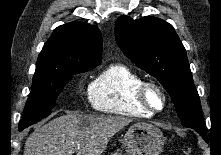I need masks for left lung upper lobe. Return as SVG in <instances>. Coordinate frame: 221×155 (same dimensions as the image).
<instances>
[{
	"instance_id": "obj_1",
	"label": "left lung upper lobe",
	"mask_w": 221,
	"mask_h": 155,
	"mask_svg": "<svg viewBox=\"0 0 221 155\" xmlns=\"http://www.w3.org/2000/svg\"><path fill=\"white\" fill-rule=\"evenodd\" d=\"M115 37L124 54L167 90L185 127L200 128L202 108L184 46L173 26L154 17H120Z\"/></svg>"
}]
</instances>
